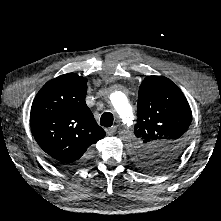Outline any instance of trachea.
<instances>
[{
  "instance_id": "3493384b",
  "label": "trachea",
  "mask_w": 221,
  "mask_h": 221,
  "mask_svg": "<svg viewBox=\"0 0 221 221\" xmlns=\"http://www.w3.org/2000/svg\"><path fill=\"white\" fill-rule=\"evenodd\" d=\"M113 115L110 112H105L100 118V124L104 127H110L113 124Z\"/></svg>"
}]
</instances>
